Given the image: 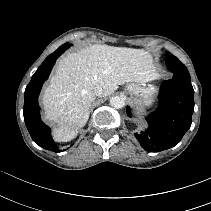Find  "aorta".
Wrapping results in <instances>:
<instances>
[{"label":"aorta","mask_w":211,"mask_h":211,"mask_svg":"<svg viewBox=\"0 0 211 211\" xmlns=\"http://www.w3.org/2000/svg\"><path fill=\"white\" fill-rule=\"evenodd\" d=\"M110 105L114 108L120 109L125 106V99L121 96L111 97Z\"/></svg>","instance_id":"aorta-1"}]
</instances>
